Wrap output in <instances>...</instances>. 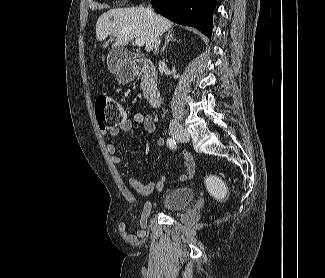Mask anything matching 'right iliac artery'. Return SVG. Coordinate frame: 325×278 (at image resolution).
Segmentation results:
<instances>
[{"label":"right iliac artery","mask_w":325,"mask_h":278,"mask_svg":"<svg viewBox=\"0 0 325 278\" xmlns=\"http://www.w3.org/2000/svg\"><path fill=\"white\" fill-rule=\"evenodd\" d=\"M167 144H168L169 148L172 150H175L177 148L176 141L172 138H168Z\"/></svg>","instance_id":"obj_1"}]
</instances>
